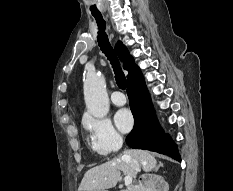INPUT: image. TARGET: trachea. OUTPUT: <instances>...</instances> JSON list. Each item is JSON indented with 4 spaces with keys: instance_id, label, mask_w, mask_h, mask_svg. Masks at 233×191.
I'll return each mask as SVG.
<instances>
[{
    "instance_id": "1",
    "label": "trachea",
    "mask_w": 233,
    "mask_h": 191,
    "mask_svg": "<svg viewBox=\"0 0 233 191\" xmlns=\"http://www.w3.org/2000/svg\"><path fill=\"white\" fill-rule=\"evenodd\" d=\"M93 16L96 19V22L100 28V31L98 32V37H97L99 47L102 50V52L105 54V56L108 58L110 63L112 64V67L115 72L116 83L118 87L124 90L126 89V78H125L124 73L121 71L117 56L108 40L106 33L104 32L105 21L102 18L101 14H93Z\"/></svg>"
}]
</instances>
